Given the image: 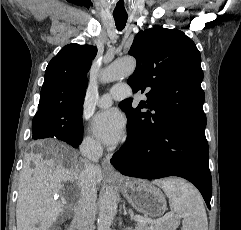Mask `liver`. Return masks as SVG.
Here are the masks:
<instances>
[{
	"instance_id": "6515ba94",
	"label": "liver",
	"mask_w": 241,
	"mask_h": 230,
	"mask_svg": "<svg viewBox=\"0 0 241 230\" xmlns=\"http://www.w3.org/2000/svg\"><path fill=\"white\" fill-rule=\"evenodd\" d=\"M40 145L44 148L40 153L25 156L16 205L17 230H47L64 211L67 200H73L72 206L80 199L79 175L85 161L62 143ZM94 174L97 181L102 180L98 166H94ZM66 182L76 186L74 197L64 195L65 201L59 202L54 196Z\"/></svg>"
}]
</instances>
